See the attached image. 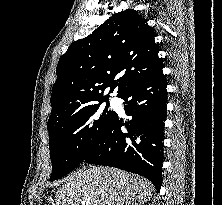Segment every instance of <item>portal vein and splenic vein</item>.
<instances>
[{"label": "portal vein and splenic vein", "instance_id": "portal-vein-and-splenic-vein-1", "mask_svg": "<svg viewBox=\"0 0 222 205\" xmlns=\"http://www.w3.org/2000/svg\"><path fill=\"white\" fill-rule=\"evenodd\" d=\"M82 205H85V201L81 202Z\"/></svg>", "mask_w": 222, "mask_h": 205}]
</instances>
